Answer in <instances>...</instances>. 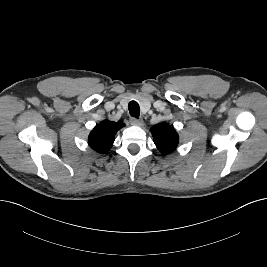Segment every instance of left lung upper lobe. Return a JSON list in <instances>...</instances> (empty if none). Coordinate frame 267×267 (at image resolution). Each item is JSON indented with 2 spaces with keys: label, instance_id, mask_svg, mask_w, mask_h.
Returning <instances> with one entry per match:
<instances>
[{
  "label": "left lung upper lobe",
  "instance_id": "obj_1",
  "mask_svg": "<svg viewBox=\"0 0 267 267\" xmlns=\"http://www.w3.org/2000/svg\"><path fill=\"white\" fill-rule=\"evenodd\" d=\"M154 143L158 150L163 154L173 152L179 142V137L175 129L167 123L154 125L150 129Z\"/></svg>",
  "mask_w": 267,
  "mask_h": 267
}]
</instances>
